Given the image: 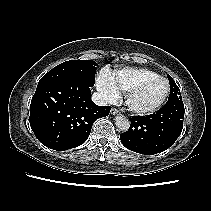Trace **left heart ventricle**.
Returning <instances> with one entry per match:
<instances>
[{"instance_id": "left-heart-ventricle-1", "label": "left heart ventricle", "mask_w": 211, "mask_h": 211, "mask_svg": "<svg viewBox=\"0 0 211 211\" xmlns=\"http://www.w3.org/2000/svg\"><path fill=\"white\" fill-rule=\"evenodd\" d=\"M165 89L166 84L164 80L156 79L134 96L133 103L139 107H148L163 96Z\"/></svg>"}]
</instances>
